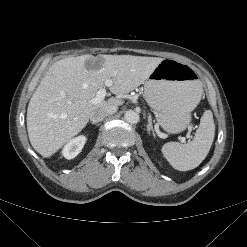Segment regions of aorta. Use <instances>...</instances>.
I'll use <instances>...</instances> for the list:
<instances>
[{"mask_svg":"<svg viewBox=\"0 0 247 247\" xmlns=\"http://www.w3.org/2000/svg\"><path fill=\"white\" fill-rule=\"evenodd\" d=\"M124 119H125L126 122H128L130 124H136L139 121L140 117H139V114L136 111L128 110L124 114Z\"/></svg>","mask_w":247,"mask_h":247,"instance_id":"762f6f07","label":"aorta"}]
</instances>
